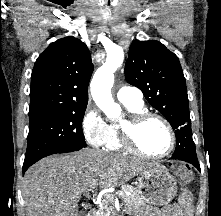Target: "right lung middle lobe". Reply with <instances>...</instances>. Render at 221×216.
Returning <instances> with one entry per match:
<instances>
[{
    "label": "right lung middle lobe",
    "instance_id": "1",
    "mask_svg": "<svg viewBox=\"0 0 221 216\" xmlns=\"http://www.w3.org/2000/svg\"><path fill=\"white\" fill-rule=\"evenodd\" d=\"M86 106L30 119L24 164L70 149L86 147L82 120Z\"/></svg>",
    "mask_w": 221,
    "mask_h": 216
}]
</instances>
